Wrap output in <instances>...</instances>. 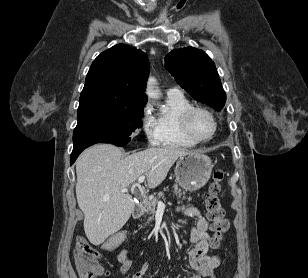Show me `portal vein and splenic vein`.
<instances>
[{
	"label": "portal vein and splenic vein",
	"instance_id": "portal-vein-and-splenic-vein-1",
	"mask_svg": "<svg viewBox=\"0 0 308 278\" xmlns=\"http://www.w3.org/2000/svg\"><path fill=\"white\" fill-rule=\"evenodd\" d=\"M145 180V175H141L139 178H138V182L136 184V186H140L141 183H143ZM128 190L127 189H122L121 192H127ZM158 205H163V202L162 201H158Z\"/></svg>",
	"mask_w": 308,
	"mask_h": 278
}]
</instances>
